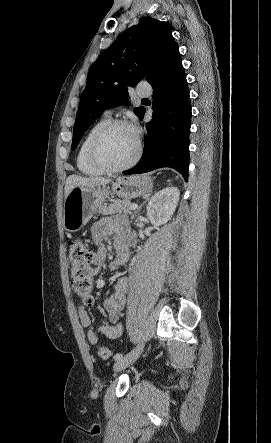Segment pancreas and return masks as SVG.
Listing matches in <instances>:
<instances>
[{"instance_id":"cf45deb5","label":"pancreas","mask_w":271,"mask_h":443,"mask_svg":"<svg viewBox=\"0 0 271 443\" xmlns=\"http://www.w3.org/2000/svg\"><path fill=\"white\" fill-rule=\"evenodd\" d=\"M129 206H131V202H129V200H115L113 204L99 208L97 214H103V216H112V214H128V216H131L133 212L130 210Z\"/></svg>"}]
</instances>
